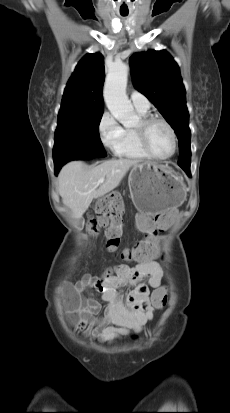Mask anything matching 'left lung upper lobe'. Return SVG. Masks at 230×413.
Segmentation results:
<instances>
[{
    "label": "left lung upper lobe",
    "instance_id": "1",
    "mask_svg": "<svg viewBox=\"0 0 230 413\" xmlns=\"http://www.w3.org/2000/svg\"><path fill=\"white\" fill-rule=\"evenodd\" d=\"M130 66L137 90L154 104L178 137V165L182 169L190 168L189 113L186 91L177 63L165 50H148L133 54L130 57Z\"/></svg>",
    "mask_w": 230,
    "mask_h": 413
}]
</instances>
